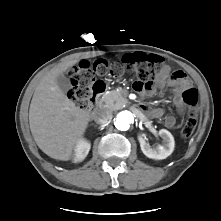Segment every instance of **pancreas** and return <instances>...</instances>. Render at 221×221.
Wrapping results in <instances>:
<instances>
[{"instance_id": "pancreas-1", "label": "pancreas", "mask_w": 221, "mask_h": 221, "mask_svg": "<svg viewBox=\"0 0 221 221\" xmlns=\"http://www.w3.org/2000/svg\"><path fill=\"white\" fill-rule=\"evenodd\" d=\"M125 101V94L122 90L117 89L105 93L100 100V106L108 109H116L122 106Z\"/></svg>"}]
</instances>
